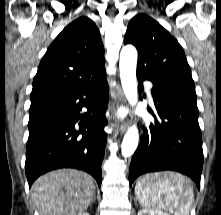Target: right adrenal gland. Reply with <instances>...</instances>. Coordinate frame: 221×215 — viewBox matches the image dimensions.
Instances as JSON below:
<instances>
[{"mask_svg":"<svg viewBox=\"0 0 221 215\" xmlns=\"http://www.w3.org/2000/svg\"><path fill=\"white\" fill-rule=\"evenodd\" d=\"M96 200V197L94 196V201Z\"/></svg>","mask_w":221,"mask_h":215,"instance_id":"right-adrenal-gland-1","label":"right adrenal gland"}]
</instances>
